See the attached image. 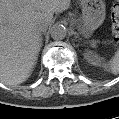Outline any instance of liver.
<instances>
[{"instance_id":"obj_1","label":"liver","mask_w":119,"mask_h":119,"mask_svg":"<svg viewBox=\"0 0 119 119\" xmlns=\"http://www.w3.org/2000/svg\"><path fill=\"white\" fill-rule=\"evenodd\" d=\"M70 0H0V82L16 86L25 82L40 51L38 25L48 26L55 12Z\"/></svg>"}]
</instances>
